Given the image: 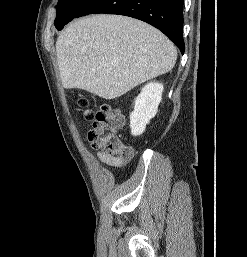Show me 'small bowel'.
Returning a JSON list of instances; mask_svg holds the SVG:
<instances>
[{
    "label": "small bowel",
    "mask_w": 247,
    "mask_h": 257,
    "mask_svg": "<svg viewBox=\"0 0 247 257\" xmlns=\"http://www.w3.org/2000/svg\"><path fill=\"white\" fill-rule=\"evenodd\" d=\"M132 155H133V149H132ZM96 156L102 163H104L108 166H111V167H121L128 160H130L132 158V156L129 159H125V158H121V157H117V156H110L102 151H98L96 153Z\"/></svg>",
    "instance_id": "1"
}]
</instances>
